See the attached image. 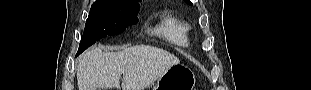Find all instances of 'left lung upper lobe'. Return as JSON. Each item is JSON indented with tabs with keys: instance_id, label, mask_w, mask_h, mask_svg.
<instances>
[{
	"instance_id": "5c2ea615",
	"label": "left lung upper lobe",
	"mask_w": 311,
	"mask_h": 90,
	"mask_svg": "<svg viewBox=\"0 0 311 90\" xmlns=\"http://www.w3.org/2000/svg\"><path fill=\"white\" fill-rule=\"evenodd\" d=\"M186 3H188V4H191L192 5V3L190 2V0H184Z\"/></svg>"
}]
</instances>
